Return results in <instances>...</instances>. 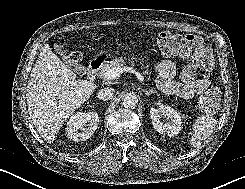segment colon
<instances>
[{
	"label": "colon",
	"mask_w": 245,
	"mask_h": 189,
	"mask_svg": "<svg viewBox=\"0 0 245 189\" xmlns=\"http://www.w3.org/2000/svg\"><path fill=\"white\" fill-rule=\"evenodd\" d=\"M157 43L166 52L192 58L191 63L184 66L180 74L186 85L195 84L207 78L214 63L213 54L195 36H184L164 31L159 34ZM71 55L75 60L76 56ZM220 96V90L214 87L202 93L198 101L204 109H214L220 102Z\"/></svg>",
	"instance_id": "colon-1"
}]
</instances>
